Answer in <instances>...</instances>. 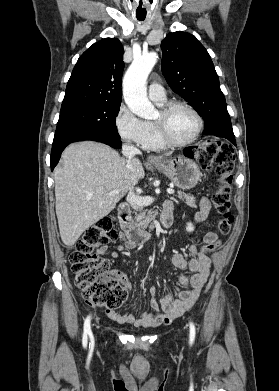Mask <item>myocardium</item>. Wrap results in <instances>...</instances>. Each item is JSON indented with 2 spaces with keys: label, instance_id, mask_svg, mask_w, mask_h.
<instances>
[{
  "label": "myocardium",
  "instance_id": "obj_1",
  "mask_svg": "<svg viewBox=\"0 0 279 391\" xmlns=\"http://www.w3.org/2000/svg\"><path fill=\"white\" fill-rule=\"evenodd\" d=\"M177 107H184L188 109L195 116L197 120V129L194 135L188 140L180 141V142L172 139L168 129L169 115ZM153 123L155 125V128L157 130L161 142L167 147H174V148L185 147L195 142L199 138L204 127V121L201 114L191 104L185 101H170L165 103L160 108L159 118L156 119Z\"/></svg>",
  "mask_w": 279,
  "mask_h": 391
}]
</instances>
